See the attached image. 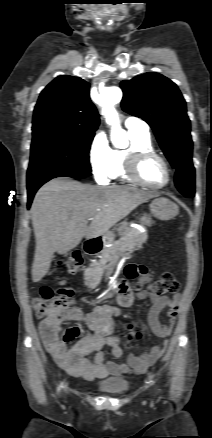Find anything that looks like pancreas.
<instances>
[{"instance_id":"pancreas-1","label":"pancreas","mask_w":212,"mask_h":438,"mask_svg":"<svg viewBox=\"0 0 212 438\" xmlns=\"http://www.w3.org/2000/svg\"><path fill=\"white\" fill-rule=\"evenodd\" d=\"M147 234L137 230L129 229L118 241L110 247L104 248L101 251L99 261H94L92 265L85 271V280L88 283H95L98 274L103 270H110L111 265L115 264L124 254L133 253L142 248V244L146 243ZM109 264L107 265L106 263Z\"/></svg>"}]
</instances>
